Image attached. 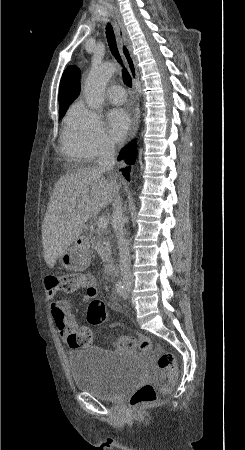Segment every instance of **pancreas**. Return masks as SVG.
<instances>
[{
	"label": "pancreas",
	"instance_id": "1",
	"mask_svg": "<svg viewBox=\"0 0 245 450\" xmlns=\"http://www.w3.org/2000/svg\"><path fill=\"white\" fill-rule=\"evenodd\" d=\"M95 233L98 234L99 238L97 242H95L92 247L97 251L99 256L104 262L109 261V257L111 254V244L109 239H105L103 236L104 231L101 229H97Z\"/></svg>",
	"mask_w": 245,
	"mask_h": 450
}]
</instances>
